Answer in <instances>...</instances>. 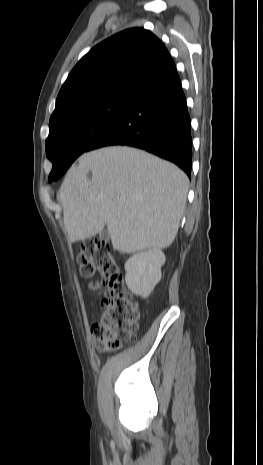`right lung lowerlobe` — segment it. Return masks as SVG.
<instances>
[{
	"label": "right lung lower lobe",
	"mask_w": 263,
	"mask_h": 465,
	"mask_svg": "<svg viewBox=\"0 0 263 465\" xmlns=\"http://www.w3.org/2000/svg\"><path fill=\"white\" fill-rule=\"evenodd\" d=\"M110 145L144 149L191 177L190 116L177 72L138 92L125 114L88 151Z\"/></svg>",
	"instance_id": "obj_1"
}]
</instances>
